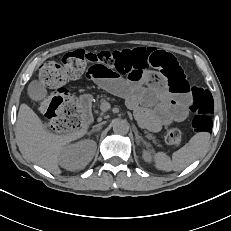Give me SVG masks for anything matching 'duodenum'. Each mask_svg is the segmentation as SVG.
Segmentation results:
<instances>
[{
	"label": "duodenum",
	"instance_id": "410a0bca",
	"mask_svg": "<svg viewBox=\"0 0 231 231\" xmlns=\"http://www.w3.org/2000/svg\"><path fill=\"white\" fill-rule=\"evenodd\" d=\"M80 114L84 125H88L91 123L92 113H91V104L89 101H83L80 104Z\"/></svg>",
	"mask_w": 231,
	"mask_h": 231
}]
</instances>
